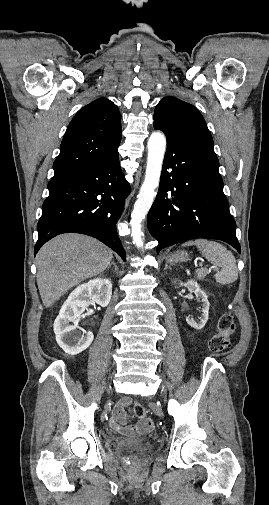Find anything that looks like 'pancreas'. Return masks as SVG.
Wrapping results in <instances>:
<instances>
[{
    "instance_id": "pancreas-1",
    "label": "pancreas",
    "mask_w": 269,
    "mask_h": 505,
    "mask_svg": "<svg viewBox=\"0 0 269 505\" xmlns=\"http://www.w3.org/2000/svg\"><path fill=\"white\" fill-rule=\"evenodd\" d=\"M208 273H209V272H208V270H206V269H199V270H197V271H196V278H197L198 280H203V279H204V277H205Z\"/></svg>"
}]
</instances>
